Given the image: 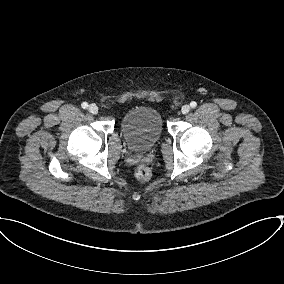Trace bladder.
Instances as JSON below:
<instances>
[{"label": "bladder", "instance_id": "31cf9c89", "mask_svg": "<svg viewBox=\"0 0 284 284\" xmlns=\"http://www.w3.org/2000/svg\"><path fill=\"white\" fill-rule=\"evenodd\" d=\"M120 129L131 150L145 152L159 141L163 121L156 109L136 106L123 115Z\"/></svg>", "mask_w": 284, "mask_h": 284}]
</instances>
